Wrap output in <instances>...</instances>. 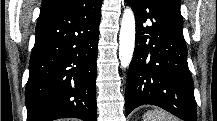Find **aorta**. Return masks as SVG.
I'll list each match as a JSON object with an SVG mask.
<instances>
[{"label":"aorta","mask_w":217,"mask_h":121,"mask_svg":"<svg viewBox=\"0 0 217 121\" xmlns=\"http://www.w3.org/2000/svg\"><path fill=\"white\" fill-rule=\"evenodd\" d=\"M135 47V18L131 8L127 7L121 22L119 35V59L121 66L127 68L133 57Z\"/></svg>","instance_id":"1"}]
</instances>
